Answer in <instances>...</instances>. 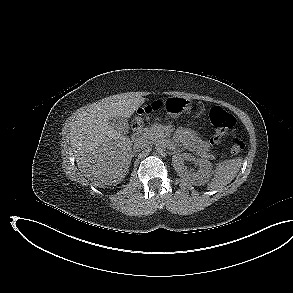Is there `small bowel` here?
Listing matches in <instances>:
<instances>
[{
	"mask_svg": "<svg viewBox=\"0 0 293 293\" xmlns=\"http://www.w3.org/2000/svg\"><path fill=\"white\" fill-rule=\"evenodd\" d=\"M178 137L191 149L206 150L208 148L207 142L201 139L191 130L181 129L178 132Z\"/></svg>",
	"mask_w": 293,
	"mask_h": 293,
	"instance_id": "obj_1",
	"label": "small bowel"
}]
</instances>
